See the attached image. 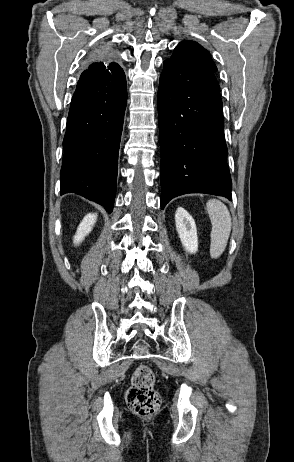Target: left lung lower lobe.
I'll return each mask as SVG.
<instances>
[{
  "instance_id": "obj_1",
  "label": "left lung lower lobe",
  "mask_w": 294,
  "mask_h": 462,
  "mask_svg": "<svg viewBox=\"0 0 294 462\" xmlns=\"http://www.w3.org/2000/svg\"><path fill=\"white\" fill-rule=\"evenodd\" d=\"M219 91L214 73L164 61L158 89L162 209L187 193L232 200Z\"/></svg>"
}]
</instances>
